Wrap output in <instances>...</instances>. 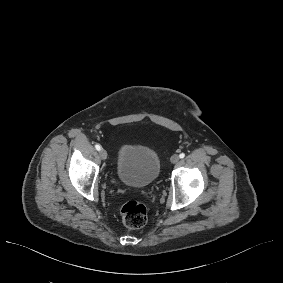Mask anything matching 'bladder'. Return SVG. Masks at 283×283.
Wrapping results in <instances>:
<instances>
[{"label": "bladder", "mask_w": 283, "mask_h": 283, "mask_svg": "<svg viewBox=\"0 0 283 283\" xmlns=\"http://www.w3.org/2000/svg\"><path fill=\"white\" fill-rule=\"evenodd\" d=\"M160 156L150 147L122 142L116 172L123 184L144 188L158 176Z\"/></svg>", "instance_id": "31cf9c89"}]
</instances>
